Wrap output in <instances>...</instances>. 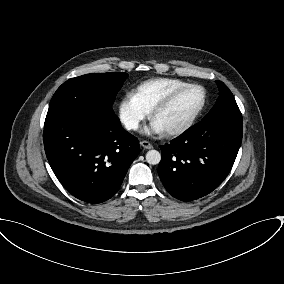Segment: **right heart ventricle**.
Returning a JSON list of instances; mask_svg holds the SVG:
<instances>
[{"label":"right heart ventricle","instance_id":"1","mask_svg":"<svg viewBox=\"0 0 284 284\" xmlns=\"http://www.w3.org/2000/svg\"><path fill=\"white\" fill-rule=\"evenodd\" d=\"M187 84L177 78H154L139 84L134 95L149 112L175 89Z\"/></svg>","mask_w":284,"mask_h":284}]
</instances>
